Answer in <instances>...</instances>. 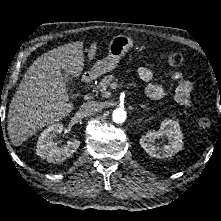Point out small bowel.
Listing matches in <instances>:
<instances>
[{
    "instance_id": "small-bowel-1",
    "label": "small bowel",
    "mask_w": 221,
    "mask_h": 221,
    "mask_svg": "<svg viewBox=\"0 0 221 221\" xmlns=\"http://www.w3.org/2000/svg\"><path fill=\"white\" fill-rule=\"evenodd\" d=\"M137 73L140 79L145 82H149L154 78L153 71L145 66L139 67ZM171 78L177 81V86L174 90L175 100L180 105L189 107L191 105L190 94L193 88L192 82L185 79L180 72L172 73ZM146 94L151 99L159 100L167 96V91L163 86L151 83L146 88Z\"/></svg>"
}]
</instances>
